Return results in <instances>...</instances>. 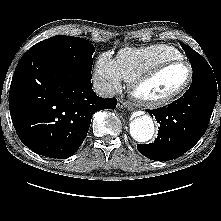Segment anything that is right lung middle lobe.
I'll return each mask as SVG.
<instances>
[{
	"label": "right lung middle lobe",
	"instance_id": "dd1d6c3e",
	"mask_svg": "<svg viewBox=\"0 0 221 221\" xmlns=\"http://www.w3.org/2000/svg\"><path fill=\"white\" fill-rule=\"evenodd\" d=\"M29 50H37L77 69L91 72L94 46L79 37L57 35L43 40Z\"/></svg>",
	"mask_w": 221,
	"mask_h": 221
}]
</instances>
